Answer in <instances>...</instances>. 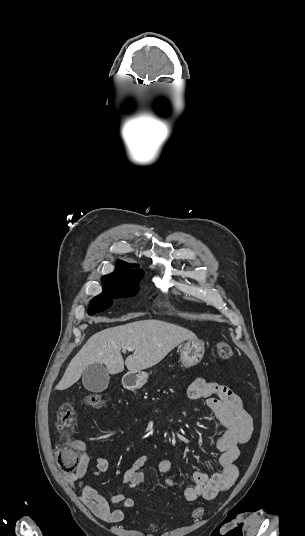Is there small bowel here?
<instances>
[{
    "label": "small bowel",
    "instance_id": "1",
    "mask_svg": "<svg viewBox=\"0 0 305 536\" xmlns=\"http://www.w3.org/2000/svg\"><path fill=\"white\" fill-rule=\"evenodd\" d=\"M187 396L191 400H205L207 406L215 413L226 428L225 432L214 437L213 442L221 452L219 458L220 471L212 476L204 472H196L192 476L193 485L186 488L183 497L187 501L203 498L207 501L215 499L220 493L227 491L238 478V468L235 461L240 455V447L246 444L253 432V422L250 414L244 408L240 397L230 388L204 378H196L188 387ZM82 454L72 474L66 475L68 484L81 492V500L86 507L100 520L107 523L120 522L126 510L134 507V500L123 493L112 497L115 504L121 508L111 509L106 499L90 485L84 483L83 477L90 463V456L83 443L78 442ZM148 462L147 456H140L124 473V484L132 487L130 473L132 469H143ZM96 474H105L109 470V461L105 457L95 460ZM157 470L164 474L165 482L173 485L176 475L172 461L160 457L156 461Z\"/></svg>",
    "mask_w": 305,
    "mask_h": 536
}]
</instances>
